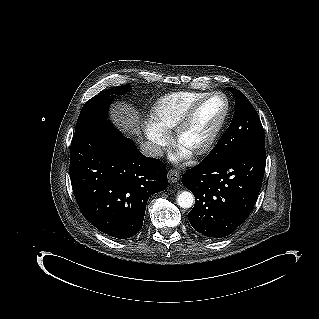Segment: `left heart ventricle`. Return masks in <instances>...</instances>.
Here are the masks:
<instances>
[{"label": "left heart ventricle", "mask_w": 319, "mask_h": 319, "mask_svg": "<svg viewBox=\"0 0 319 319\" xmlns=\"http://www.w3.org/2000/svg\"><path fill=\"white\" fill-rule=\"evenodd\" d=\"M223 109L224 102L218 97L206 101L185 129L182 135L183 144L187 147H196L203 143L219 121Z\"/></svg>", "instance_id": "b2bd125f"}]
</instances>
